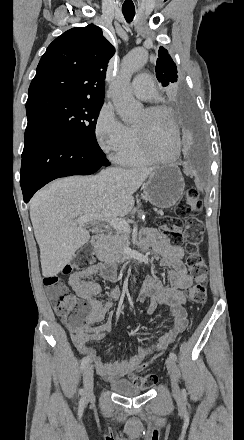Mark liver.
Wrapping results in <instances>:
<instances>
[{"mask_svg": "<svg viewBox=\"0 0 244 440\" xmlns=\"http://www.w3.org/2000/svg\"><path fill=\"white\" fill-rule=\"evenodd\" d=\"M155 168H107L97 176H71L54 180L39 190L30 202V220L40 248L42 276L62 272L76 250L90 240V232L75 218L96 214L98 218H118L131 212L134 192Z\"/></svg>", "mask_w": 244, "mask_h": 440, "instance_id": "liver-1", "label": "liver"}]
</instances>
